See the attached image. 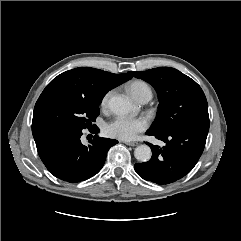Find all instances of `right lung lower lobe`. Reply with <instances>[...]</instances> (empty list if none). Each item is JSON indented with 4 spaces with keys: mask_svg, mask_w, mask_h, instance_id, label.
<instances>
[{
    "mask_svg": "<svg viewBox=\"0 0 241 241\" xmlns=\"http://www.w3.org/2000/svg\"><path fill=\"white\" fill-rule=\"evenodd\" d=\"M38 154L52 175L70 183L89 179L104 165L110 147L116 140L97 136L85 146L82 129L52 126L32 131Z\"/></svg>",
    "mask_w": 241,
    "mask_h": 241,
    "instance_id": "obj_1",
    "label": "right lung lower lobe"
}]
</instances>
